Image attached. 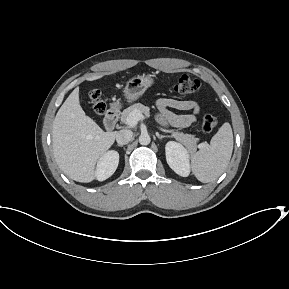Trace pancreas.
<instances>
[{"label":"pancreas","instance_id":"pancreas-1","mask_svg":"<svg viewBox=\"0 0 289 289\" xmlns=\"http://www.w3.org/2000/svg\"><path fill=\"white\" fill-rule=\"evenodd\" d=\"M133 111H140L141 113L145 114L146 116H149L150 108L147 106H144L141 103H136L131 105L130 107L126 108L122 113H121V121L123 123H126L128 116L133 112ZM172 137H174L177 141L181 142L186 146V148L191 152L194 153L197 149V141L198 138H195L194 135L191 134H184L182 132H174L172 134Z\"/></svg>","mask_w":289,"mask_h":289}]
</instances>
